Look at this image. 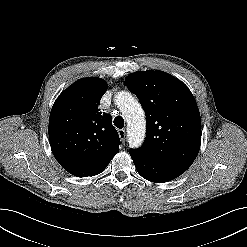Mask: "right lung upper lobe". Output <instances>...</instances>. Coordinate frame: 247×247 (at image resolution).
I'll return each instance as SVG.
<instances>
[{
	"label": "right lung upper lobe",
	"instance_id": "right-lung-upper-lobe-1",
	"mask_svg": "<svg viewBox=\"0 0 247 247\" xmlns=\"http://www.w3.org/2000/svg\"><path fill=\"white\" fill-rule=\"evenodd\" d=\"M107 84L90 77L78 80L55 101L49 118V140L65 170L88 169L112 159L120 139L112 118L98 105Z\"/></svg>",
	"mask_w": 247,
	"mask_h": 247
}]
</instances>
